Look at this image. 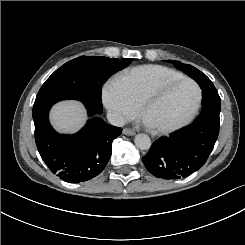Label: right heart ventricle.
<instances>
[{"mask_svg": "<svg viewBox=\"0 0 245 245\" xmlns=\"http://www.w3.org/2000/svg\"><path fill=\"white\" fill-rule=\"evenodd\" d=\"M181 74L170 68L159 65H145L133 68L117 75L112 83L124 89L129 97L137 104L142 91L151 83ZM162 87L160 89H164Z\"/></svg>", "mask_w": 245, "mask_h": 245, "instance_id": "1", "label": "right heart ventricle"}]
</instances>
